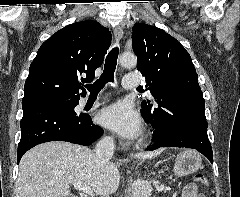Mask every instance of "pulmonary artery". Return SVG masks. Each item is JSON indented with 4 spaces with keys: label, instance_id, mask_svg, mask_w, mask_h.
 Here are the masks:
<instances>
[{
    "label": "pulmonary artery",
    "instance_id": "obj_1",
    "mask_svg": "<svg viewBox=\"0 0 240 197\" xmlns=\"http://www.w3.org/2000/svg\"><path fill=\"white\" fill-rule=\"evenodd\" d=\"M138 84H140V74H128L123 79V87L125 89H134Z\"/></svg>",
    "mask_w": 240,
    "mask_h": 197
}]
</instances>
